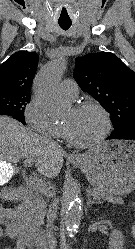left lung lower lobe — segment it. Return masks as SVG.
<instances>
[{
    "mask_svg": "<svg viewBox=\"0 0 135 249\" xmlns=\"http://www.w3.org/2000/svg\"><path fill=\"white\" fill-rule=\"evenodd\" d=\"M107 139H131L135 140V123L125 132H113Z\"/></svg>",
    "mask_w": 135,
    "mask_h": 249,
    "instance_id": "1",
    "label": "left lung lower lobe"
}]
</instances>
